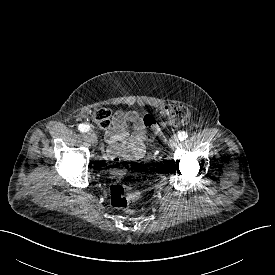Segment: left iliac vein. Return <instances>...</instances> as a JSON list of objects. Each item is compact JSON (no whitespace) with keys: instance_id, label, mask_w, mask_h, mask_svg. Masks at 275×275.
I'll list each match as a JSON object with an SVG mask.
<instances>
[{"instance_id":"1","label":"left iliac vein","mask_w":275,"mask_h":275,"mask_svg":"<svg viewBox=\"0 0 275 275\" xmlns=\"http://www.w3.org/2000/svg\"><path fill=\"white\" fill-rule=\"evenodd\" d=\"M179 144V139L177 136H173L170 140L171 147H176Z\"/></svg>"}]
</instances>
